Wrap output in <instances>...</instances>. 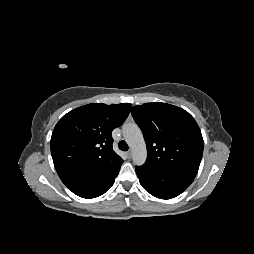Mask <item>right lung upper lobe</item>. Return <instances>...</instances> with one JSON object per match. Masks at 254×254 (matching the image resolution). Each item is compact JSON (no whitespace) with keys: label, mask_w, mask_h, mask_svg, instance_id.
I'll use <instances>...</instances> for the list:
<instances>
[{"label":"right lung upper lobe","mask_w":254,"mask_h":254,"mask_svg":"<svg viewBox=\"0 0 254 254\" xmlns=\"http://www.w3.org/2000/svg\"><path fill=\"white\" fill-rule=\"evenodd\" d=\"M131 104L92 103L65 114L50 141L51 155L60 178L103 170L123 162L112 147L113 129L123 124Z\"/></svg>","instance_id":"obj_1"}]
</instances>
